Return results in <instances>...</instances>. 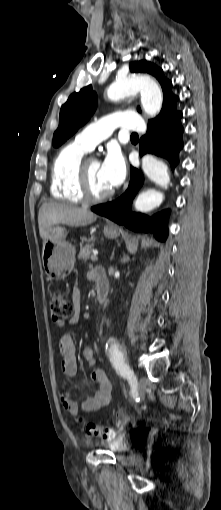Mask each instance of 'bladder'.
<instances>
[{"mask_svg": "<svg viewBox=\"0 0 221 510\" xmlns=\"http://www.w3.org/2000/svg\"><path fill=\"white\" fill-rule=\"evenodd\" d=\"M133 445L134 441L131 437L123 436L110 442L108 449L114 453H126L133 447Z\"/></svg>", "mask_w": 221, "mask_h": 510, "instance_id": "obj_1", "label": "bladder"}]
</instances>
